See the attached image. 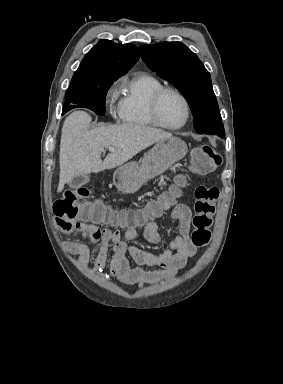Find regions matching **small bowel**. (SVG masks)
<instances>
[{
	"label": "small bowel",
	"instance_id": "1",
	"mask_svg": "<svg viewBox=\"0 0 283 384\" xmlns=\"http://www.w3.org/2000/svg\"><path fill=\"white\" fill-rule=\"evenodd\" d=\"M191 217V210L185 204L179 203L172 208L171 221L177 226V234L171 237L168 247L159 254L130 245L136 236L134 228H126L121 232L117 229L99 228L85 223L66 226L57 218L56 225L65 233L81 236L91 243H100L94 264L96 272L104 269L110 251L111 275L121 283L136 284L143 288L146 285L174 277L195 256L197 246L190 238ZM144 237L151 243H159L163 240L156 220L148 221L145 224ZM64 248L68 253L76 255L82 266L88 264L90 248L85 242L69 241L65 243ZM129 258L135 263V266H131ZM144 266L159 267L161 270L147 271L143 269Z\"/></svg>",
	"mask_w": 283,
	"mask_h": 384
}]
</instances>
